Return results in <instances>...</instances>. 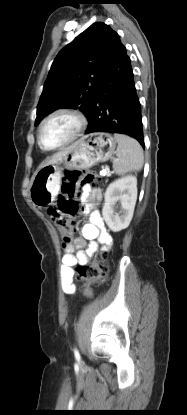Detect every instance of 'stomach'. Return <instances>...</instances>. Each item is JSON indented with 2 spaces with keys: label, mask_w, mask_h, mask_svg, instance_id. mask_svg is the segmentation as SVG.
<instances>
[{
  "label": "stomach",
  "mask_w": 187,
  "mask_h": 415,
  "mask_svg": "<svg viewBox=\"0 0 187 415\" xmlns=\"http://www.w3.org/2000/svg\"><path fill=\"white\" fill-rule=\"evenodd\" d=\"M116 143L109 133H92L75 142L61 161L40 167L34 173L29 187L33 204L38 208L52 204L64 170L86 169L107 161L114 154Z\"/></svg>",
  "instance_id": "1"
}]
</instances>
